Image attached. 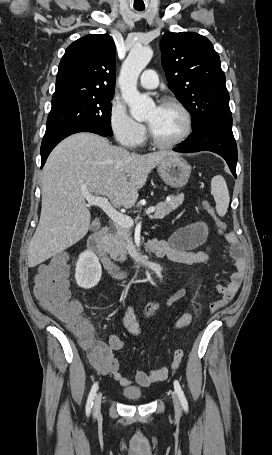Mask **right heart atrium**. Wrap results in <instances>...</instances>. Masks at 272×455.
<instances>
[{
	"instance_id": "d8ad5b80",
	"label": "right heart atrium",
	"mask_w": 272,
	"mask_h": 455,
	"mask_svg": "<svg viewBox=\"0 0 272 455\" xmlns=\"http://www.w3.org/2000/svg\"><path fill=\"white\" fill-rule=\"evenodd\" d=\"M109 126L117 142L126 148H136L144 141L145 127L129 115L119 100H113L111 103Z\"/></svg>"
}]
</instances>
